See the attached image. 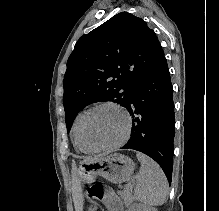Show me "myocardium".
<instances>
[{
  "label": "myocardium",
  "instance_id": "myocardium-1",
  "mask_svg": "<svg viewBox=\"0 0 219 211\" xmlns=\"http://www.w3.org/2000/svg\"><path fill=\"white\" fill-rule=\"evenodd\" d=\"M104 106L113 107V108L119 110L125 117L126 126H125V130H124L122 137L118 141L111 143V144L95 145V144L91 143L86 136L85 124H86V120H87L88 116L90 115V113L92 111H94L95 109H97L99 107H104ZM131 125H132L131 116H130L129 112L124 107H122L121 105H119L117 103L111 102V101H104V102L94 104L92 107H90L89 109H87L83 113L81 121H80V125H79V132H80V137H81L82 141L84 142V144H86L91 149H93V150H108V149L117 148V147L121 146L122 144H124L128 140L129 135H130Z\"/></svg>",
  "mask_w": 219,
  "mask_h": 211
}]
</instances>
